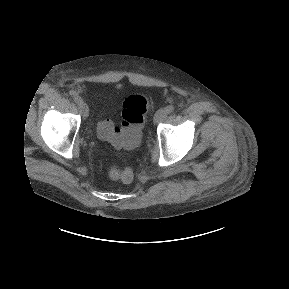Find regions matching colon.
I'll return each mask as SVG.
<instances>
[{
	"instance_id": "5ec220e1",
	"label": "colon",
	"mask_w": 289,
	"mask_h": 289,
	"mask_svg": "<svg viewBox=\"0 0 289 289\" xmlns=\"http://www.w3.org/2000/svg\"><path fill=\"white\" fill-rule=\"evenodd\" d=\"M148 107L149 100L146 96H129L123 103L121 124L114 126L108 120L101 121L98 125L99 136L128 150L137 148ZM109 174L125 183L133 179V171L130 168L120 170L116 166H110Z\"/></svg>"
}]
</instances>
